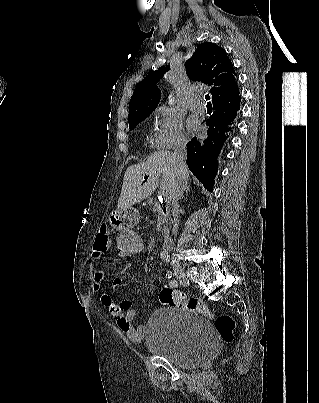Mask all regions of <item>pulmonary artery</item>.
Wrapping results in <instances>:
<instances>
[{
    "label": "pulmonary artery",
    "mask_w": 319,
    "mask_h": 403,
    "mask_svg": "<svg viewBox=\"0 0 319 403\" xmlns=\"http://www.w3.org/2000/svg\"><path fill=\"white\" fill-rule=\"evenodd\" d=\"M191 110L204 113L206 111V105L204 99L201 96H196L190 103Z\"/></svg>",
    "instance_id": "e3ab8cb5"
}]
</instances>
